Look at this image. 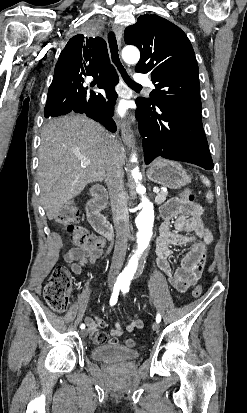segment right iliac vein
Instances as JSON below:
<instances>
[{"label": "right iliac vein", "instance_id": "63e3f726", "mask_svg": "<svg viewBox=\"0 0 247 413\" xmlns=\"http://www.w3.org/2000/svg\"><path fill=\"white\" fill-rule=\"evenodd\" d=\"M88 333H89V330H88V329L82 330V331L80 332L82 338L87 337Z\"/></svg>", "mask_w": 247, "mask_h": 413}]
</instances>
